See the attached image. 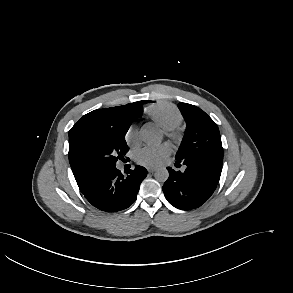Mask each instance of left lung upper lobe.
I'll use <instances>...</instances> for the list:
<instances>
[{
  "label": "left lung upper lobe",
  "instance_id": "1",
  "mask_svg": "<svg viewBox=\"0 0 293 293\" xmlns=\"http://www.w3.org/2000/svg\"><path fill=\"white\" fill-rule=\"evenodd\" d=\"M185 121L186 134L176 159L184 160L204 156L223 162V148L216 123L200 108L187 104L178 105Z\"/></svg>",
  "mask_w": 293,
  "mask_h": 293
}]
</instances>
